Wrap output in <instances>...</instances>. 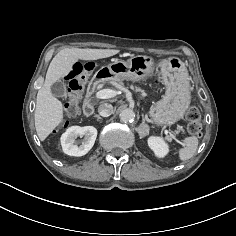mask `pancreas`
I'll return each instance as SVG.
<instances>
[{"label":"pancreas","instance_id":"obj_1","mask_svg":"<svg viewBox=\"0 0 236 236\" xmlns=\"http://www.w3.org/2000/svg\"><path fill=\"white\" fill-rule=\"evenodd\" d=\"M119 88L122 89V88H123V84H121ZM130 88H131L132 90H134L135 92H141V93L144 94V91H143L141 88H139V87H136V86L131 85ZM178 130H179V131H183V129H182L181 127H179Z\"/></svg>","mask_w":236,"mask_h":236}]
</instances>
